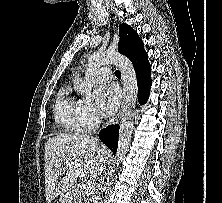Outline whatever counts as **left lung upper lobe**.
Returning <instances> with one entry per match:
<instances>
[{
  "label": "left lung upper lobe",
  "mask_w": 222,
  "mask_h": 203,
  "mask_svg": "<svg viewBox=\"0 0 222 203\" xmlns=\"http://www.w3.org/2000/svg\"><path fill=\"white\" fill-rule=\"evenodd\" d=\"M120 42L118 45L119 53L129 59L135 55L138 49L143 45L137 32L127 24H121L119 27Z\"/></svg>",
  "instance_id": "left-lung-upper-lobe-1"
}]
</instances>
